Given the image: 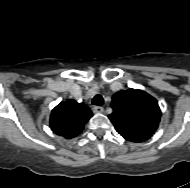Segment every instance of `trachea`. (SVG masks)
Returning <instances> with one entry per match:
<instances>
[{
	"label": "trachea",
	"mask_w": 190,
	"mask_h": 188,
	"mask_svg": "<svg viewBox=\"0 0 190 188\" xmlns=\"http://www.w3.org/2000/svg\"><path fill=\"white\" fill-rule=\"evenodd\" d=\"M103 98L101 95H96L93 100H92V104L96 105V106H102L103 105Z\"/></svg>",
	"instance_id": "obj_1"
}]
</instances>
